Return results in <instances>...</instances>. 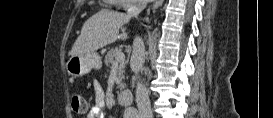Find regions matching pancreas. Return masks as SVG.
Instances as JSON below:
<instances>
[{
	"label": "pancreas",
	"instance_id": "cf45deb5",
	"mask_svg": "<svg viewBox=\"0 0 273 118\" xmlns=\"http://www.w3.org/2000/svg\"><path fill=\"white\" fill-rule=\"evenodd\" d=\"M121 50L118 48L110 50L106 57H105V64L106 66L114 65L115 63L118 64V89L123 90L125 88V84L122 82V80L125 78V66L126 62L124 60H121L119 62L116 61V54L120 52Z\"/></svg>",
	"mask_w": 273,
	"mask_h": 118
}]
</instances>
